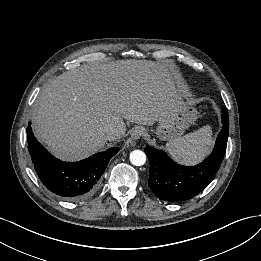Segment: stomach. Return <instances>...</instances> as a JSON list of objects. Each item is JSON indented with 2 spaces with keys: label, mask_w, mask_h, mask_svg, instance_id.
Instances as JSON below:
<instances>
[{
  "label": "stomach",
  "mask_w": 261,
  "mask_h": 261,
  "mask_svg": "<svg viewBox=\"0 0 261 261\" xmlns=\"http://www.w3.org/2000/svg\"><path fill=\"white\" fill-rule=\"evenodd\" d=\"M197 118V110L184 104L178 110L159 121L157 128L152 131L160 140H173L180 137Z\"/></svg>",
  "instance_id": "1"
}]
</instances>
